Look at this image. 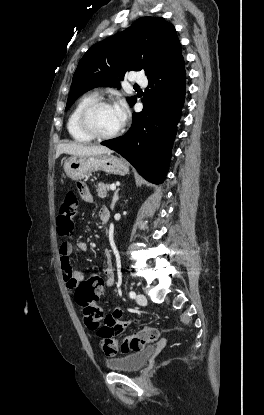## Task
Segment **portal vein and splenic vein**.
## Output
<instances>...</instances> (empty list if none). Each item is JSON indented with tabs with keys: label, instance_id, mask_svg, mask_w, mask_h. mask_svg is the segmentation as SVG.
<instances>
[{
	"label": "portal vein and splenic vein",
	"instance_id": "1",
	"mask_svg": "<svg viewBox=\"0 0 264 415\" xmlns=\"http://www.w3.org/2000/svg\"><path fill=\"white\" fill-rule=\"evenodd\" d=\"M110 189H111V190H115V189H116V185H115V184H112V185L110 186Z\"/></svg>",
	"mask_w": 264,
	"mask_h": 415
}]
</instances>
